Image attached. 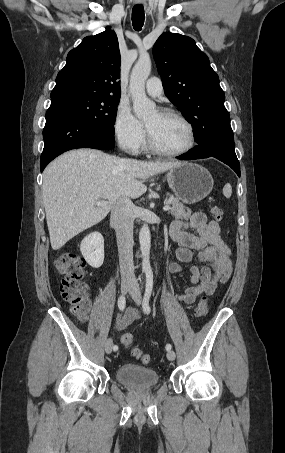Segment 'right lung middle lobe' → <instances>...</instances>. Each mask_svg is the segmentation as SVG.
<instances>
[{
  "label": "right lung middle lobe",
  "instance_id": "right-lung-middle-lobe-1",
  "mask_svg": "<svg viewBox=\"0 0 285 453\" xmlns=\"http://www.w3.org/2000/svg\"><path fill=\"white\" fill-rule=\"evenodd\" d=\"M119 99L102 95L70 94L51 100V103L68 107L95 131L114 139Z\"/></svg>",
  "mask_w": 285,
  "mask_h": 453
}]
</instances>
